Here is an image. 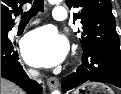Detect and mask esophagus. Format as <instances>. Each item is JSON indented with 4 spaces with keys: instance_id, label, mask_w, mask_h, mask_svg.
Masks as SVG:
<instances>
[{
    "instance_id": "esophagus-1",
    "label": "esophagus",
    "mask_w": 121,
    "mask_h": 94,
    "mask_svg": "<svg viewBox=\"0 0 121 94\" xmlns=\"http://www.w3.org/2000/svg\"><path fill=\"white\" fill-rule=\"evenodd\" d=\"M47 85L50 89H56L59 86V79L57 77H49L47 79Z\"/></svg>"
}]
</instances>
